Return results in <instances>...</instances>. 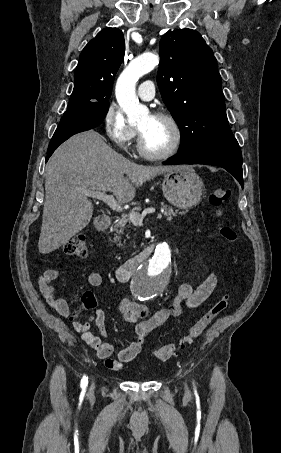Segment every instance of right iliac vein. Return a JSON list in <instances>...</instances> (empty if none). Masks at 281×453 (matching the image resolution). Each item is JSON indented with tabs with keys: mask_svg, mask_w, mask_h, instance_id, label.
I'll return each mask as SVG.
<instances>
[{
	"mask_svg": "<svg viewBox=\"0 0 281 453\" xmlns=\"http://www.w3.org/2000/svg\"><path fill=\"white\" fill-rule=\"evenodd\" d=\"M90 390L93 392L95 389L92 387Z\"/></svg>",
	"mask_w": 281,
	"mask_h": 453,
	"instance_id": "right-iliac-vein-1",
	"label": "right iliac vein"
}]
</instances>
